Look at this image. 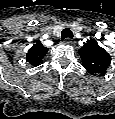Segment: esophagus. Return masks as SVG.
Returning a JSON list of instances; mask_svg holds the SVG:
<instances>
[{
    "label": "esophagus",
    "instance_id": "34e87169",
    "mask_svg": "<svg viewBox=\"0 0 115 119\" xmlns=\"http://www.w3.org/2000/svg\"><path fill=\"white\" fill-rule=\"evenodd\" d=\"M65 42L68 43V44H72L73 41H72V38H66Z\"/></svg>",
    "mask_w": 115,
    "mask_h": 119
}]
</instances>
